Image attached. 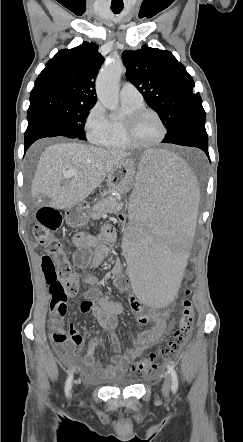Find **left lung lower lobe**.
Returning a JSON list of instances; mask_svg holds the SVG:
<instances>
[{
	"mask_svg": "<svg viewBox=\"0 0 243 442\" xmlns=\"http://www.w3.org/2000/svg\"><path fill=\"white\" fill-rule=\"evenodd\" d=\"M205 119L206 116L190 120L174 136L166 140L164 143L197 147L203 150L209 158Z\"/></svg>",
	"mask_w": 243,
	"mask_h": 442,
	"instance_id": "obj_1",
	"label": "left lung lower lobe"
}]
</instances>
